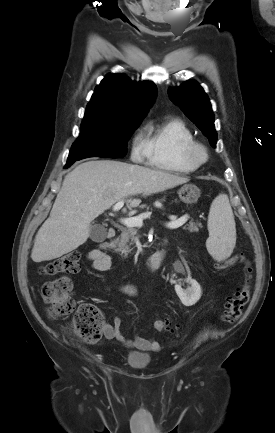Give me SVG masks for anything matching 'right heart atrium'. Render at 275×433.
<instances>
[{
  "instance_id": "1",
  "label": "right heart atrium",
  "mask_w": 275,
  "mask_h": 433,
  "mask_svg": "<svg viewBox=\"0 0 275 433\" xmlns=\"http://www.w3.org/2000/svg\"><path fill=\"white\" fill-rule=\"evenodd\" d=\"M147 156L146 144L141 133L134 136L131 146V158L135 162H141Z\"/></svg>"
}]
</instances>
